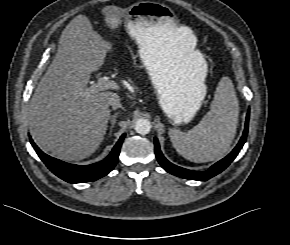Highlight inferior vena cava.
Wrapping results in <instances>:
<instances>
[{"mask_svg":"<svg viewBox=\"0 0 290 245\" xmlns=\"http://www.w3.org/2000/svg\"><path fill=\"white\" fill-rule=\"evenodd\" d=\"M109 105L112 107L113 110H116L118 108H122V104L120 102L119 96H117L116 98H113L110 101Z\"/></svg>","mask_w":290,"mask_h":245,"instance_id":"602c4592","label":"inferior vena cava"}]
</instances>
